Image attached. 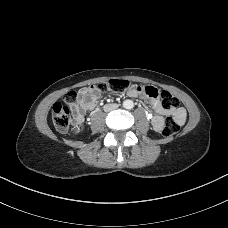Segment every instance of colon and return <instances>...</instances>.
Masks as SVG:
<instances>
[{"instance_id":"1","label":"colon","mask_w":228,"mask_h":228,"mask_svg":"<svg viewBox=\"0 0 228 228\" xmlns=\"http://www.w3.org/2000/svg\"><path fill=\"white\" fill-rule=\"evenodd\" d=\"M94 86V85H93ZM100 91L109 89H135L139 93L146 95L149 98L159 97L161 104L166 110H174L178 106V99L168 91H158L153 86L134 84L127 79H111L107 83L96 86ZM78 94L69 93L66 98V104L56 102L52 107V120L54 126L59 131H66L70 126L71 121V105L77 101ZM180 129L179 123L172 117L168 118L162 129L165 137L175 135Z\"/></svg>"}]
</instances>
